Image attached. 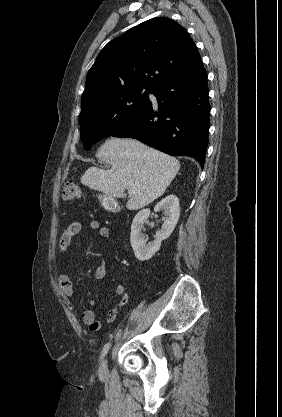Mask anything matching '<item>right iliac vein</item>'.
Masks as SVG:
<instances>
[{"label":"right iliac vein","mask_w":282,"mask_h":417,"mask_svg":"<svg viewBox=\"0 0 282 417\" xmlns=\"http://www.w3.org/2000/svg\"><path fill=\"white\" fill-rule=\"evenodd\" d=\"M106 371H107V359L103 360V362H102V364L100 366V369H99V372L101 374H105Z\"/></svg>","instance_id":"63e3f726"}]
</instances>
